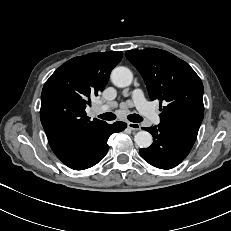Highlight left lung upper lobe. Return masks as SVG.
<instances>
[{
	"mask_svg": "<svg viewBox=\"0 0 231 231\" xmlns=\"http://www.w3.org/2000/svg\"><path fill=\"white\" fill-rule=\"evenodd\" d=\"M151 100H160V124L195 142L204 117L203 84L195 71L173 54L156 49L129 50Z\"/></svg>",
	"mask_w": 231,
	"mask_h": 231,
	"instance_id": "1",
	"label": "left lung upper lobe"
}]
</instances>
